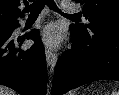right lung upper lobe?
I'll return each mask as SVG.
<instances>
[{"label": "right lung upper lobe", "mask_w": 119, "mask_h": 95, "mask_svg": "<svg viewBox=\"0 0 119 95\" xmlns=\"http://www.w3.org/2000/svg\"><path fill=\"white\" fill-rule=\"evenodd\" d=\"M20 2L21 0H0V28L19 26L18 19L24 17L19 9Z\"/></svg>", "instance_id": "right-lung-upper-lobe-1"}]
</instances>
